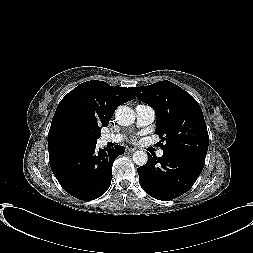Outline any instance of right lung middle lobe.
<instances>
[{"label":"right lung middle lobe","mask_w":253,"mask_h":253,"mask_svg":"<svg viewBox=\"0 0 253 253\" xmlns=\"http://www.w3.org/2000/svg\"><path fill=\"white\" fill-rule=\"evenodd\" d=\"M99 137V131H92L80 125L69 126L63 131L65 142L76 149L96 145Z\"/></svg>","instance_id":"1"}]
</instances>
